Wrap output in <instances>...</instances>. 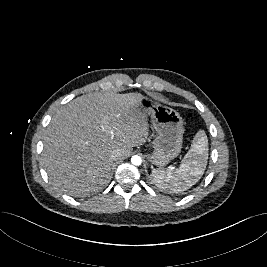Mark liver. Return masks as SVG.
Returning a JSON list of instances; mask_svg holds the SVG:
<instances>
[{"label": "liver", "mask_w": 267, "mask_h": 267, "mask_svg": "<svg viewBox=\"0 0 267 267\" xmlns=\"http://www.w3.org/2000/svg\"><path fill=\"white\" fill-rule=\"evenodd\" d=\"M139 93H90L52 117L43 138L42 163L49 179L71 196L97 192L110 181L111 153L129 157L146 142L149 127Z\"/></svg>", "instance_id": "liver-1"}]
</instances>
